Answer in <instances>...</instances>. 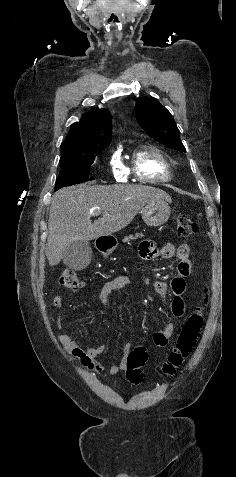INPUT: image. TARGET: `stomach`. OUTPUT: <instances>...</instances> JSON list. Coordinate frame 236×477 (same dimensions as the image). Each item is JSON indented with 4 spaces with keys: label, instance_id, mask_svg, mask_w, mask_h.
<instances>
[{
    "label": "stomach",
    "instance_id": "0dacf381",
    "mask_svg": "<svg viewBox=\"0 0 236 477\" xmlns=\"http://www.w3.org/2000/svg\"><path fill=\"white\" fill-rule=\"evenodd\" d=\"M141 213L142 219L147 226L157 227L167 222L171 209L166 201L157 200L146 204L142 208ZM111 237L108 244L99 248L104 255L112 254L117 247L116 239L113 236Z\"/></svg>",
    "mask_w": 236,
    "mask_h": 477
}]
</instances>
